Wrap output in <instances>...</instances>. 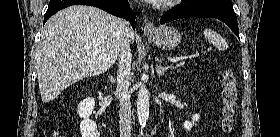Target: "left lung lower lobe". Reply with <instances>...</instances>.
I'll list each match as a JSON object with an SVG mask.
<instances>
[{
	"instance_id": "obj_1",
	"label": "left lung lower lobe",
	"mask_w": 280,
	"mask_h": 137,
	"mask_svg": "<svg viewBox=\"0 0 280 137\" xmlns=\"http://www.w3.org/2000/svg\"><path fill=\"white\" fill-rule=\"evenodd\" d=\"M187 17H212L227 24L239 38L237 17L232 2L212 0L198 3L188 2L184 6H177L162 15L160 24ZM240 39V38H239Z\"/></svg>"
}]
</instances>
